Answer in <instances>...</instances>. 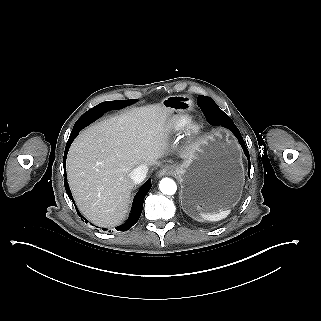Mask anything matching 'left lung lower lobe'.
Returning a JSON list of instances; mask_svg holds the SVG:
<instances>
[{
	"label": "left lung lower lobe",
	"instance_id": "obj_1",
	"mask_svg": "<svg viewBox=\"0 0 321 321\" xmlns=\"http://www.w3.org/2000/svg\"><path fill=\"white\" fill-rule=\"evenodd\" d=\"M203 113L205 114L208 122L211 125H222L225 128L230 129L234 135L237 137L240 145L242 146L245 155L248 158L249 161V176H250V157L249 152L245 146L244 140L237 129V127L234 125L233 121L222 111L219 109L216 103L211 104L209 106H206L204 108H201Z\"/></svg>",
	"mask_w": 321,
	"mask_h": 321
}]
</instances>
